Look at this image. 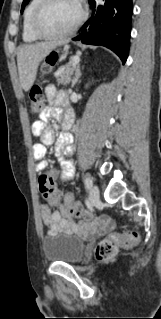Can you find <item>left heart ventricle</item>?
I'll use <instances>...</instances> for the list:
<instances>
[{
  "label": "left heart ventricle",
  "instance_id": "left-heart-ventricle-1",
  "mask_svg": "<svg viewBox=\"0 0 161 319\" xmlns=\"http://www.w3.org/2000/svg\"><path fill=\"white\" fill-rule=\"evenodd\" d=\"M77 15L76 0H51L40 16L39 26L46 33H57L70 26Z\"/></svg>",
  "mask_w": 161,
  "mask_h": 319
}]
</instances>
